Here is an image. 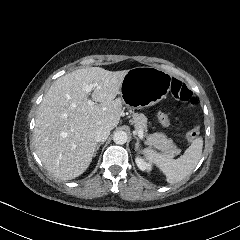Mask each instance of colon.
I'll list each match as a JSON object with an SVG mask.
<instances>
[{
	"label": "colon",
	"instance_id": "5ec220e1",
	"mask_svg": "<svg viewBox=\"0 0 240 240\" xmlns=\"http://www.w3.org/2000/svg\"><path fill=\"white\" fill-rule=\"evenodd\" d=\"M175 96L181 101H186L188 103H192L195 100L193 92L185 85L176 86L173 90ZM158 122H162V124H170L171 120L167 118V113H163V110H158ZM195 138H198V128L194 127L193 131L190 134L186 135V143L190 144L191 141H195Z\"/></svg>",
	"mask_w": 240,
	"mask_h": 240
}]
</instances>
